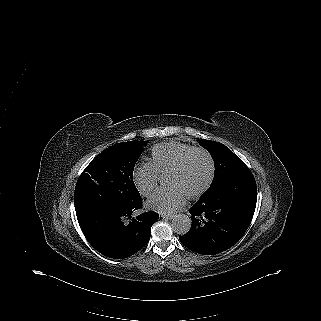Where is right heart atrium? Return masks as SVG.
<instances>
[{
    "label": "right heart atrium",
    "mask_w": 321,
    "mask_h": 321,
    "mask_svg": "<svg viewBox=\"0 0 321 321\" xmlns=\"http://www.w3.org/2000/svg\"><path fill=\"white\" fill-rule=\"evenodd\" d=\"M159 173L151 161L139 164L134 171V180L142 193H149L157 185Z\"/></svg>",
    "instance_id": "d8ad5b80"
}]
</instances>
